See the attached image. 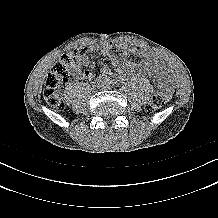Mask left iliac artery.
<instances>
[{
	"label": "left iliac artery",
	"mask_w": 218,
	"mask_h": 218,
	"mask_svg": "<svg viewBox=\"0 0 218 218\" xmlns=\"http://www.w3.org/2000/svg\"><path fill=\"white\" fill-rule=\"evenodd\" d=\"M106 83H107V84H113V81H111L110 79H107V80H106Z\"/></svg>",
	"instance_id": "1"
}]
</instances>
